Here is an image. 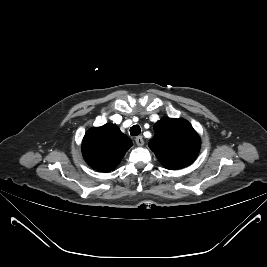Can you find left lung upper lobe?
<instances>
[{
  "instance_id": "left-lung-upper-lobe-1",
  "label": "left lung upper lobe",
  "mask_w": 267,
  "mask_h": 267,
  "mask_svg": "<svg viewBox=\"0 0 267 267\" xmlns=\"http://www.w3.org/2000/svg\"><path fill=\"white\" fill-rule=\"evenodd\" d=\"M154 131L149 147L165 168L186 167L197 157L200 138L188 121L163 118L154 125Z\"/></svg>"
}]
</instances>
